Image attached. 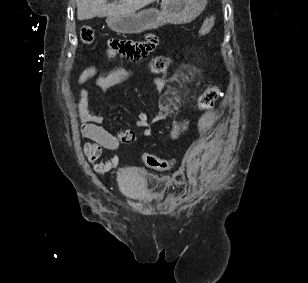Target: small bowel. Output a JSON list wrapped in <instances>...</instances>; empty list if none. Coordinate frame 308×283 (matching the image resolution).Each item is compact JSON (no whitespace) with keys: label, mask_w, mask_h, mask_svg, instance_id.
Wrapping results in <instances>:
<instances>
[{"label":"small bowel","mask_w":308,"mask_h":283,"mask_svg":"<svg viewBox=\"0 0 308 283\" xmlns=\"http://www.w3.org/2000/svg\"><path fill=\"white\" fill-rule=\"evenodd\" d=\"M157 45V37L149 34L143 41L133 42L119 39H112L108 42L106 53L112 58H121L129 61L139 60L150 52ZM131 70L127 68H117L109 72H98L94 67L86 68L79 76L78 83L86 84L92 82L98 89L106 90L131 76ZM155 83L161 85L162 80L156 79ZM179 104V99L175 98L168 102H161L159 111L153 120L149 119L146 112H140L136 125L142 128V136L149 137L152 134L154 123L163 120L169 112ZM78 115L80 120V131L82 137L88 139L83 145V152L93 165L95 172L104 174L111 171L118 165L116 157L99 162L103 150H116L120 144H128L134 141L135 133L131 129H121L116 133L110 132L101 124L103 118L94 110L89 100V91L83 88L80 91L77 102ZM192 177V173H188Z\"/></svg>","instance_id":"small-bowel-1"}]
</instances>
